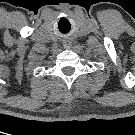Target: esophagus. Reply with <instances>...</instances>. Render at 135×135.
I'll return each mask as SVG.
<instances>
[{"instance_id":"1","label":"esophagus","mask_w":135,"mask_h":135,"mask_svg":"<svg viewBox=\"0 0 135 135\" xmlns=\"http://www.w3.org/2000/svg\"><path fill=\"white\" fill-rule=\"evenodd\" d=\"M64 45H65V46H68V45H69V43H68V42H64Z\"/></svg>"}]
</instances>
